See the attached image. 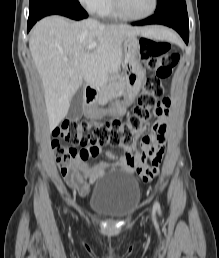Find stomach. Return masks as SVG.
Segmentation results:
<instances>
[{"label":"stomach","mask_w":219,"mask_h":258,"mask_svg":"<svg viewBox=\"0 0 219 258\" xmlns=\"http://www.w3.org/2000/svg\"><path fill=\"white\" fill-rule=\"evenodd\" d=\"M140 48V42L136 36H130L124 40L126 73L123 91L126 101L121 102L115 96L110 109H101L99 103L93 101L88 104L86 109L88 117L99 118L107 114L123 116L126 113L128 103L137 96L146 76L140 61Z\"/></svg>","instance_id":"stomach-1"}]
</instances>
